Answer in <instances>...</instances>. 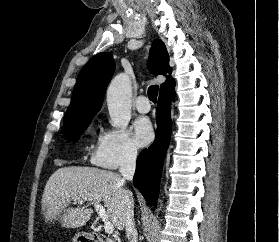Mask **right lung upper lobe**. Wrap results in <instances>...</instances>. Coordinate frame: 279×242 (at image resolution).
Instances as JSON below:
<instances>
[{
	"label": "right lung upper lobe",
	"mask_w": 279,
	"mask_h": 242,
	"mask_svg": "<svg viewBox=\"0 0 279 242\" xmlns=\"http://www.w3.org/2000/svg\"><path fill=\"white\" fill-rule=\"evenodd\" d=\"M149 68L155 75L166 76V73H171L168 53L162 40H154L152 44ZM114 69L115 61L109 52H101L87 62L77 78L71 103L64 116V125L82 122L99 111ZM174 84V80L167 77L160 86L159 94L172 90Z\"/></svg>",
	"instance_id": "obj_1"
}]
</instances>
